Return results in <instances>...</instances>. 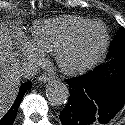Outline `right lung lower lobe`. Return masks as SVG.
I'll return each instance as SVG.
<instances>
[{
  "instance_id": "obj_1",
  "label": "right lung lower lobe",
  "mask_w": 125,
  "mask_h": 125,
  "mask_svg": "<svg viewBox=\"0 0 125 125\" xmlns=\"http://www.w3.org/2000/svg\"><path fill=\"white\" fill-rule=\"evenodd\" d=\"M31 87V82H25L20 86L19 93L15 99V102L11 106V108L8 110V112L3 116V118L0 119V125H12L14 122V119L17 115L19 105L22 101V98L26 91Z\"/></svg>"
}]
</instances>
